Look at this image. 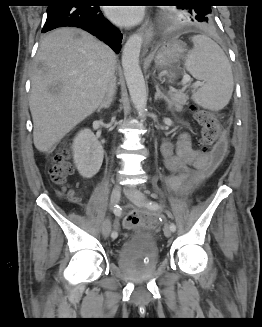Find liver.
Returning <instances> with one entry per match:
<instances>
[{
	"mask_svg": "<svg viewBox=\"0 0 262 327\" xmlns=\"http://www.w3.org/2000/svg\"><path fill=\"white\" fill-rule=\"evenodd\" d=\"M115 66L114 52L80 29L60 28L41 41L29 100L40 152H50L100 106Z\"/></svg>",
	"mask_w": 262,
	"mask_h": 327,
	"instance_id": "1",
	"label": "liver"
}]
</instances>
